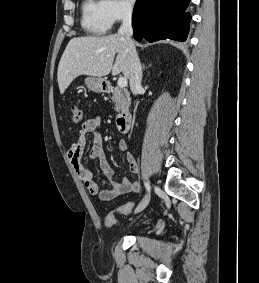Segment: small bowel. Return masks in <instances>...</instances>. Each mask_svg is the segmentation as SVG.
Wrapping results in <instances>:
<instances>
[{
	"label": "small bowel",
	"instance_id": "small-bowel-1",
	"mask_svg": "<svg viewBox=\"0 0 259 283\" xmlns=\"http://www.w3.org/2000/svg\"><path fill=\"white\" fill-rule=\"evenodd\" d=\"M92 135V145L87 155L88 162L98 161L103 171V179L110 184L108 189H101L95 182L91 170L82 162V156L86 147V136ZM127 142L120 140L118 150L125 154L129 171L132 174L138 172V165L134 156L127 151ZM68 160L75 169L82 182L91 195L101 201H110L126 193H139L140 184L130 178L124 177L121 182H117L114 171L109 166L103 149V138L100 128V120L97 117L87 119L80 128L79 136L67 152Z\"/></svg>",
	"mask_w": 259,
	"mask_h": 283
}]
</instances>
